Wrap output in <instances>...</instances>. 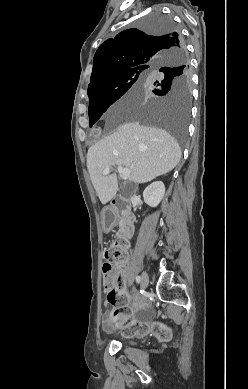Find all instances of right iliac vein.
<instances>
[{"label": "right iliac vein", "mask_w": 248, "mask_h": 389, "mask_svg": "<svg viewBox=\"0 0 248 389\" xmlns=\"http://www.w3.org/2000/svg\"><path fill=\"white\" fill-rule=\"evenodd\" d=\"M149 278L146 272L141 275V288L144 289L148 284Z\"/></svg>", "instance_id": "1"}]
</instances>
